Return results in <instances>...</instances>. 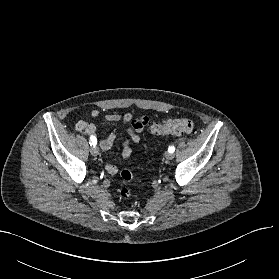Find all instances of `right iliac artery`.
Instances as JSON below:
<instances>
[{"label":"right iliac artery","instance_id":"1","mask_svg":"<svg viewBox=\"0 0 279 279\" xmlns=\"http://www.w3.org/2000/svg\"><path fill=\"white\" fill-rule=\"evenodd\" d=\"M96 144H97V139L95 137H91L90 138V145L91 146H96Z\"/></svg>","mask_w":279,"mask_h":279}]
</instances>
